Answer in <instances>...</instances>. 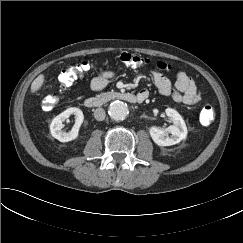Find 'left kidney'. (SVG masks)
Instances as JSON below:
<instances>
[{"label": "left kidney", "instance_id": "5707ae66", "mask_svg": "<svg viewBox=\"0 0 243 243\" xmlns=\"http://www.w3.org/2000/svg\"><path fill=\"white\" fill-rule=\"evenodd\" d=\"M165 112L174 125L166 129L151 127L149 130L151 138L159 146L175 145L187 137V127L182 116L172 108H167ZM168 133L171 134L170 137L167 136Z\"/></svg>", "mask_w": 243, "mask_h": 243}]
</instances>
